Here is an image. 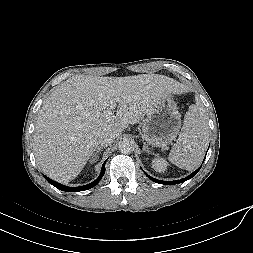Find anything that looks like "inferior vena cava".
I'll use <instances>...</instances> for the list:
<instances>
[{"label":"inferior vena cava","mask_w":253,"mask_h":253,"mask_svg":"<svg viewBox=\"0 0 253 253\" xmlns=\"http://www.w3.org/2000/svg\"><path fill=\"white\" fill-rule=\"evenodd\" d=\"M114 139H115L114 133H112L110 131H107V130L101 131L98 134V143L101 146H108V145H110L114 141Z\"/></svg>","instance_id":"obj_1"}]
</instances>
